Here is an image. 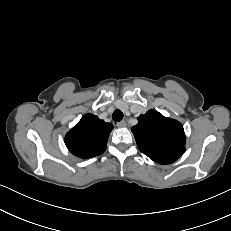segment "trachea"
Instances as JSON below:
<instances>
[{
    "label": "trachea",
    "mask_w": 231,
    "mask_h": 231,
    "mask_svg": "<svg viewBox=\"0 0 231 231\" xmlns=\"http://www.w3.org/2000/svg\"><path fill=\"white\" fill-rule=\"evenodd\" d=\"M112 119L115 121V122H120L122 119H123V113L121 110L119 109H116L113 114H112Z\"/></svg>",
    "instance_id": "obj_1"
}]
</instances>
